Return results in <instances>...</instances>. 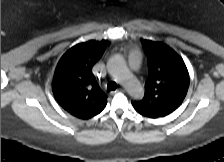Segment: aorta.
I'll return each instance as SVG.
<instances>
[{
	"instance_id": "762f6f07",
	"label": "aorta",
	"mask_w": 224,
	"mask_h": 162,
	"mask_svg": "<svg viewBox=\"0 0 224 162\" xmlns=\"http://www.w3.org/2000/svg\"><path fill=\"white\" fill-rule=\"evenodd\" d=\"M110 75L119 81L128 94L134 99H141L144 90L139 80L129 71L124 59L120 55L111 57L107 64Z\"/></svg>"
}]
</instances>
